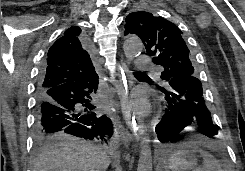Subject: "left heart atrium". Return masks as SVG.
<instances>
[{"instance_id":"left-heart-atrium-1","label":"left heart atrium","mask_w":245,"mask_h":171,"mask_svg":"<svg viewBox=\"0 0 245 171\" xmlns=\"http://www.w3.org/2000/svg\"><path fill=\"white\" fill-rule=\"evenodd\" d=\"M128 107L139 114H144L148 109L146 101L140 95L132 97L128 102Z\"/></svg>"}]
</instances>
